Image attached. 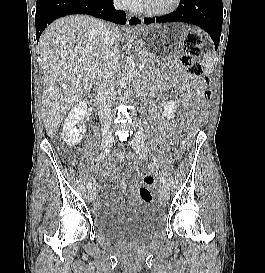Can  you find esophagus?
<instances>
[{
  "label": "esophagus",
  "instance_id": "esophagus-1",
  "mask_svg": "<svg viewBox=\"0 0 265 273\" xmlns=\"http://www.w3.org/2000/svg\"><path fill=\"white\" fill-rule=\"evenodd\" d=\"M142 18L129 14L127 17V24L131 27H139L142 24Z\"/></svg>",
  "mask_w": 265,
  "mask_h": 273
}]
</instances>
